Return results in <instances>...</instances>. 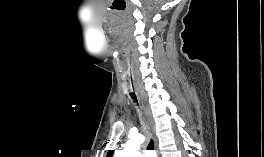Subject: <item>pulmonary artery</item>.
I'll return each instance as SVG.
<instances>
[{
  "label": "pulmonary artery",
  "mask_w": 264,
  "mask_h": 157,
  "mask_svg": "<svg viewBox=\"0 0 264 157\" xmlns=\"http://www.w3.org/2000/svg\"><path fill=\"white\" fill-rule=\"evenodd\" d=\"M151 155H154L152 152L150 151H145L144 154H143V157H149Z\"/></svg>",
  "instance_id": "pulmonary-artery-1"
}]
</instances>
